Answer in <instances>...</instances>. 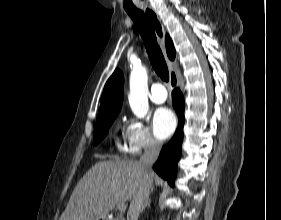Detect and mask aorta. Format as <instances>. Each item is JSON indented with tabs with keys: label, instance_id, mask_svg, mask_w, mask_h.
Here are the masks:
<instances>
[{
	"label": "aorta",
	"instance_id": "aorta-1",
	"mask_svg": "<svg viewBox=\"0 0 281 220\" xmlns=\"http://www.w3.org/2000/svg\"><path fill=\"white\" fill-rule=\"evenodd\" d=\"M147 71L144 66H134L130 74V93L128 100L134 115L146 116L149 110Z\"/></svg>",
	"mask_w": 281,
	"mask_h": 220
}]
</instances>
